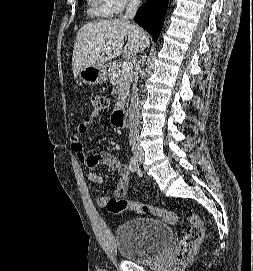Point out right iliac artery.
I'll use <instances>...</instances> for the list:
<instances>
[{"mask_svg": "<svg viewBox=\"0 0 253 271\" xmlns=\"http://www.w3.org/2000/svg\"><path fill=\"white\" fill-rule=\"evenodd\" d=\"M129 168H130L131 172H135L139 169L138 162L134 157H131V159H130Z\"/></svg>", "mask_w": 253, "mask_h": 271, "instance_id": "obj_1", "label": "right iliac artery"}]
</instances>
